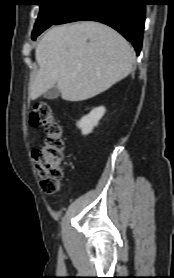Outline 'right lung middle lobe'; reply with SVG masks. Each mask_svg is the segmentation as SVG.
<instances>
[{"label": "right lung middle lobe", "mask_w": 174, "mask_h": 278, "mask_svg": "<svg viewBox=\"0 0 174 278\" xmlns=\"http://www.w3.org/2000/svg\"><path fill=\"white\" fill-rule=\"evenodd\" d=\"M73 1L74 0H37L40 11L32 33V39L34 40L41 32L54 24Z\"/></svg>", "instance_id": "obj_1"}]
</instances>
